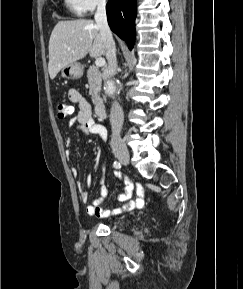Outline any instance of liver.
I'll return each instance as SVG.
<instances>
[{
  "label": "liver",
  "mask_w": 243,
  "mask_h": 289,
  "mask_svg": "<svg viewBox=\"0 0 243 289\" xmlns=\"http://www.w3.org/2000/svg\"><path fill=\"white\" fill-rule=\"evenodd\" d=\"M88 53L91 57H101L106 53L104 40L94 21H59L49 40L50 78L54 79L63 67L83 59Z\"/></svg>",
  "instance_id": "liver-1"
}]
</instances>
